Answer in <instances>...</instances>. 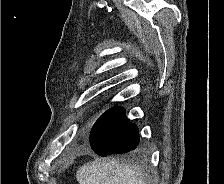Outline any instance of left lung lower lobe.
Listing matches in <instances>:
<instances>
[{
	"label": "left lung lower lobe",
	"instance_id": "0a47b994",
	"mask_svg": "<svg viewBox=\"0 0 224 184\" xmlns=\"http://www.w3.org/2000/svg\"><path fill=\"white\" fill-rule=\"evenodd\" d=\"M136 124L125 116L122 107L104 112L95 122L90 133V145L99 156L123 154L133 151L139 144Z\"/></svg>",
	"mask_w": 224,
	"mask_h": 184
}]
</instances>
